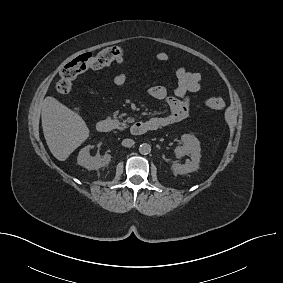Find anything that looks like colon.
<instances>
[{
    "label": "colon",
    "instance_id": "colon-1",
    "mask_svg": "<svg viewBox=\"0 0 283 283\" xmlns=\"http://www.w3.org/2000/svg\"><path fill=\"white\" fill-rule=\"evenodd\" d=\"M123 57L124 50L119 46L108 47L95 55L85 53L76 57L60 71V78L55 85L57 93L62 96L68 95L78 75L89 69H98L121 61ZM204 104L214 110H222L225 107V102L217 97L206 99Z\"/></svg>",
    "mask_w": 283,
    "mask_h": 283
}]
</instances>
